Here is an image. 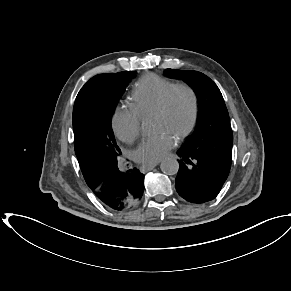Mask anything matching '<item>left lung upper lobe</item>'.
<instances>
[{"instance_id": "5c2ea615", "label": "left lung upper lobe", "mask_w": 291, "mask_h": 291, "mask_svg": "<svg viewBox=\"0 0 291 291\" xmlns=\"http://www.w3.org/2000/svg\"><path fill=\"white\" fill-rule=\"evenodd\" d=\"M165 73L170 78L185 81L193 88L199 101L196 130L181 149L231 164L233 134L229 114L217 85L198 71L166 69Z\"/></svg>"}]
</instances>
